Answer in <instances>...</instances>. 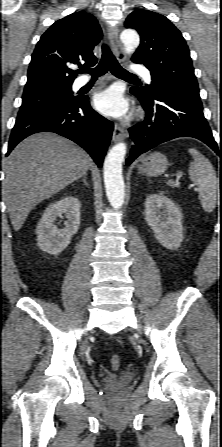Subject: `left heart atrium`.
<instances>
[{
  "label": "left heart atrium",
  "instance_id": "obj_1",
  "mask_svg": "<svg viewBox=\"0 0 222 447\" xmlns=\"http://www.w3.org/2000/svg\"><path fill=\"white\" fill-rule=\"evenodd\" d=\"M94 105L102 114L114 118H123L129 111L128 101L117 87H110L98 93L94 98Z\"/></svg>",
  "mask_w": 222,
  "mask_h": 447
}]
</instances>
